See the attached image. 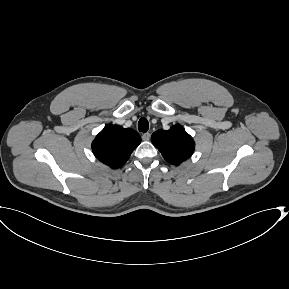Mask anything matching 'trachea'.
Here are the masks:
<instances>
[{
  "mask_svg": "<svg viewBox=\"0 0 289 289\" xmlns=\"http://www.w3.org/2000/svg\"><path fill=\"white\" fill-rule=\"evenodd\" d=\"M138 129L140 132H147L149 129V123L146 118H141L138 122Z\"/></svg>",
  "mask_w": 289,
  "mask_h": 289,
  "instance_id": "1",
  "label": "trachea"
}]
</instances>
